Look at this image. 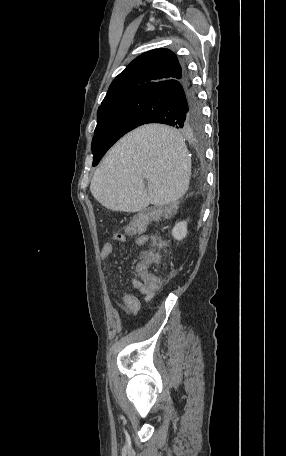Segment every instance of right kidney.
Listing matches in <instances>:
<instances>
[{"label":"right kidney","instance_id":"ca27d5eb","mask_svg":"<svg viewBox=\"0 0 286 456\" xmlns=\"http://www.w3.org/2000/svg\"><path fill=\"white\" fill-rule=\"evenodd\" d=\"M187 235V222L182 221L175 224L172 229V236L177 240H182Z\"/></svg>","mask_w":286,"mask_h":456}]
</instances>
